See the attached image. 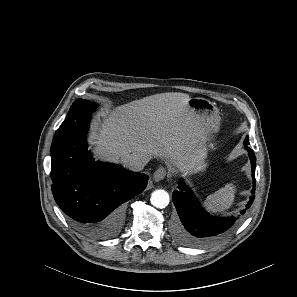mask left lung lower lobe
Segmentation results:
<instances>
[{
    "label": "left lung lower lobe",
    "instance_id": "left-lung-lower-lobe-1",
    "mask_svg": "<svg viewBox=\"0 0 297 297\" xmlns=\"http://www.w3.org/2000/svg\"><path fill=\"white\" fill-rule=\"evenodd\" d=\"M245 148L248 149L253 177L252 196L246 205V209L241 210L240 215L236 217L222 218L210 216L204 211L196 197L181 180L178 186L179 190L174 191L172 195L173 203L180 219L172 230V235L176 242L189 247L209 245L234 228L241 216L251 206L255 192L256 157L252 149L247 146Z\"/></svg>",
    "mask_w": 297,
    "mask_h": 297
}]
</instances>
